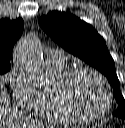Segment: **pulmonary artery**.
<instances>
[{
	"instance_id": "pulmonary-artery-1",
	"label": "pulmonary artery",
	"mask_w": 125,
	"mask_h": 128,
	"mask_svg": "<svg viewBox=\"0 0 125 128\" xmlns=\"http://www.w3.org/2000/svg\"><path fill=\"white\" fill-rule=\"evenodd\" d=\"M66 62V56L59 50H49L46 54V64H63Z\"/></svg>"
}]
</instances>
